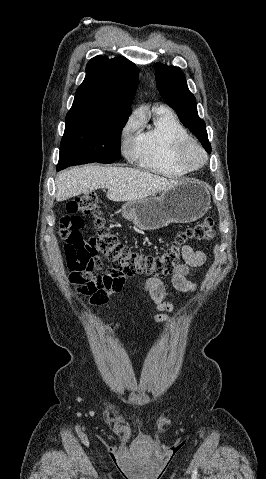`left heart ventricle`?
I'll return each instance as SVG.
<instances>
[{
	"instance_id": "b2bd125f",
	"label": "left heart ventricle",
	"mask_w": 266,
	"mask_h": 479,
	"mask_svg": "<svg viewBox=\"0 0 266 479\" xmlns=\"http://www.w3.org/2000/svg\"><path fill=\"white\" fill-rule=\"evenodd\" d=\"M189 158L192 163H196L199 160V154L196 151H191Z\"/></svg>"
}]
</instances>
